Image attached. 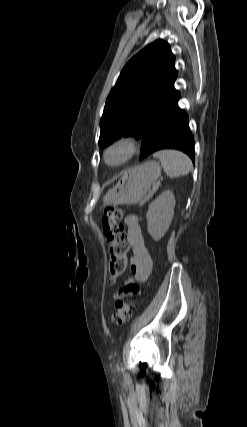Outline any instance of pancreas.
<instances>
[{
	"mask_svg": "<svg viewBox=\"0 0 247 427\" xmlns=\"http://www.w3.org/2000/svg\"><path fill=\"white\" fill-rule=\"evenodd\" d=\"M157 187H158V184H155L153 186V190L149 191V193L145 196V198H144L145 201L149 200L153 196V194L156 191Z\"/></svg>",
	"mask_w": 247,
	"mask_h": 427,
	"instance_id": "obj_1",
	"label": "pancreas"
}]
</instances>
